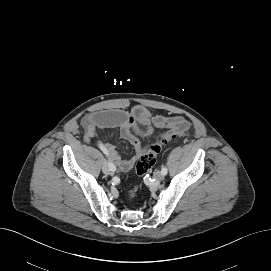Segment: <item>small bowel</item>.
<instances>
[{"mask_svg": "<svg viewBox=\"0 0 271 271\" xmlns=\"http://www.w3.org/2000/svg\"><path fill=\"white\" fill-rule=\"evenodd\" d=\"M82 125L85 129L84 139L89 141L101 129H117L121 138L127 140L135 150L131 159H122L112 144H107L108 154L122 172L129 171L143 153L140 137L153 133L154 127L166 129L164 139H169L188 129L189 123L180 116H164L152 114L142 105H136L131 110H109L87 114Z\"/></svg>", "mask_w": 271, "mask_h": 271, "instance_id": "c3829d8e", "label": "small bowel"}]
</instances>
